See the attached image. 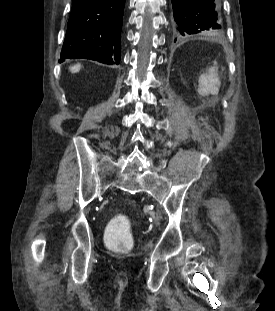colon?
<instances>
[{"label": "colon", "instance_id": "colon-1", "mask_svg": "<svg viewBox=\"0 0 275 311\" xmlns=\"http://www.w3.org/2000/svg\"><path fill=\"white\" fill-rule=\"evenodd\" d=\"M129 229L130 225L128 218L124 215L116 216L107 227V244L119 251L130 250L133 247L134 242Z\"/></svg>", "mask_w": 275, "mask_h": 311}]
</instances>
